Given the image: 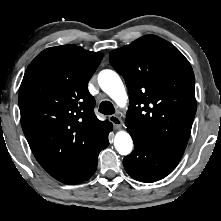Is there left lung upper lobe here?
Masks as SVG:
<instances>
[{
    "mask_svg": "<svg viewBox=\"0 0 221 221\" xmlns=\"http://www.w3.org/2000/svg\"><path fill=\"white\" fill-rule=\"evenodd\" d=\"M109 60L128 88L126 126L153 144L184 151L196 113L194 73L184 55L146 35L111 51Z\"/></svg>",
    "mask_w": 221,
    "mask_h": 221,
    "instance_id": "5c2ea615",
    "label": "left lung upper lobe"
}]
</instances>
